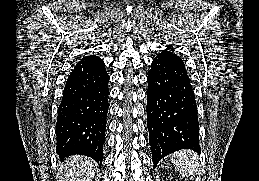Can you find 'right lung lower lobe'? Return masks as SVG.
<instances>
[{
  "label": "right lung lower lobe",
  "mask_w": 259,
  "mask_h": 181,
  "mask_svg": "<svg viewBox=\"0 0 259 181\" xmlns=\"http://www.w3.org/2000/svg\"><path fill=\"white\" fill-rule=\"evenodd\" d=\"M109 75L96 55L82 58L69 75L58 108L56 152L80 154L101 165L108 112Z\"/></svg>",
  "instance_id": "right-lung-lower-lobe-1"
}]
</instances>
